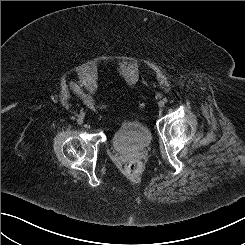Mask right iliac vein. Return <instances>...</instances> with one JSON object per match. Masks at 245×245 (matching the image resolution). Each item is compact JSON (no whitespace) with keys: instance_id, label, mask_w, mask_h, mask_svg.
Instances as JSON below:
<instances>
[{"instance_id":"right-iliac-vein-1","label":"right iliac vein","mask_w":245,"mask_h":245,"mask_svg":"<svg viewBox=\"0 0 245 245\" xmlns=\"http://www.w3.org/2000/svg\"><path fill=\"white\" fill-rule=\"evenodd\" d=\"M77 124L82 125L83 124V120L81 118H78L77 119Z\"/></svg>"}]
</instances>
